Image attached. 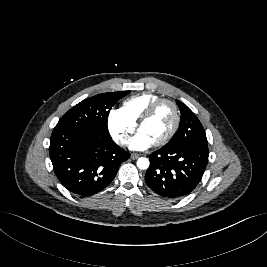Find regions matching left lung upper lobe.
I'll return each mask as SVG.
<instances>
[{"label":"left lung upper lobe","instance_id":"obj_1","mask_svg":"<svg viewBox=\"0 0 267 267\" xmlns=\"http://www.w3.org/2000/svg\"><path fill=\"white\" fill-rule=\"evenodd\" d=\"M181 112L180 128L164 147L197 143L208 145L205 130L196 115L181 101H176Z\"/></svg>","mask_w":267,"mask_h":267}]
</instances>
